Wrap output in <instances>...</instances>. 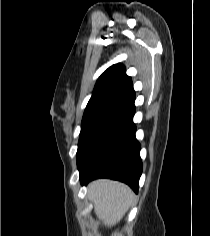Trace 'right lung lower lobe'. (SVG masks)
<instances>
[{
  "instance_id": "98d812e1",
  "label": "right lung lower lobe",
  "mask_w": 210,
  "mask_h": 236,
  "mask_svg": "<svg viewBox=\"0 0 210 236\" xmlns=\"http://www.w3.org/2000/svg\"><path fill=\"white\" fill-rule=\"evenodd\" d=\"M134 101L135 93L105 118L78 149L81 184L110 178L128 184L137 193L142 162L133 123Z\"/></svg>"
}]
</instances>
